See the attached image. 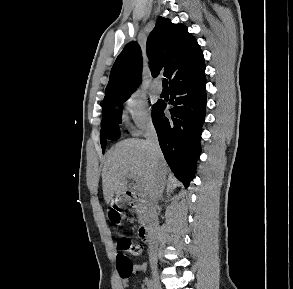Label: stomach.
I'll list each match as a JSON object with an SVG mask.
<instances>
[{"mask_svg": "<svg viewBox=\"0 0 293 289\" xmlns=\"http://www.w3.org/2000/svg\"><path fill=\"white\" fill-rule=\"evenodd\" d=\"M115 202L120 205H124L126 203V198H125V196L118 195L115 199Z\"/></svg>", "mask_w": 293, "mask_h": 289, "instance_id": "1", "label": "stomach"}]
</instances>
